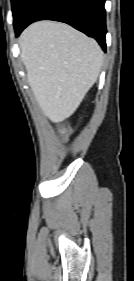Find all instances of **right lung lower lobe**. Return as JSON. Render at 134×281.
<instances>
[{"label":"right lung lower lobe","instance_id":"obj_1","mask_svg":"<svg viewBox=\"0 0 134 281\" xmlns=\"http://www.w3.org/2000/svg\"><path fill=\"white\" fill-rule=\"evenodd\" d=\"M105 0H31L16 37L30 23L49 19L67 23L95 38L106 51Z\"/></svg>","mask_w":134,"mask_h":281}]
</instances>
